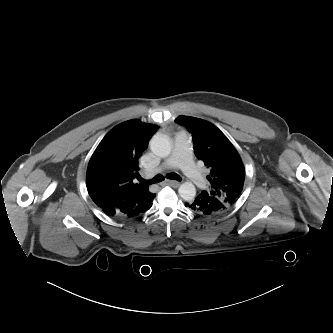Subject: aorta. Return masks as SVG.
<instances>
[{
	"label": "aorta",
	"mask_w": 333,
	"mask_h": 333,
	"mask_svg": "<svg viewBox=\"0 0 333 333\" xmlns=\"http://www.w3.org/2000/svg\"><path fill=\"white\" fill-rule=\"evenodd\" d=\"M151 151L159 157H167L171 153V143L167 135L157 134L150 140ZM179 195L185 201L194 199L196 188L191 182H184L178 189Z\"/></svg>",
	"instance_id": "762f6f07"
}]
</instances>
